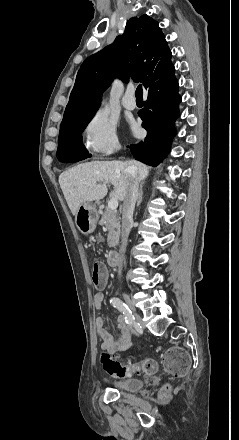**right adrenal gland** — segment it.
Instances as JSON below:
<instances>
[{
  "label": "right adrenal gland",
  "mask_w": 239,
  "mask_h": 440,
  "mask_svg": "<svg viewBox=\"0 0 239 440\" xmlns=\"http://www.w3.org/2000/svg\"><path fill=\"white\" fill-rule=\"evenodd\" d=\"M142 196H143V182H141V184H140V190H139V194H138V198H137L136 208H138V206H140V204L142 202Z\"/></svg>",
  "instance_id": "right-adrenal-gland-1"
}]
</instances>
